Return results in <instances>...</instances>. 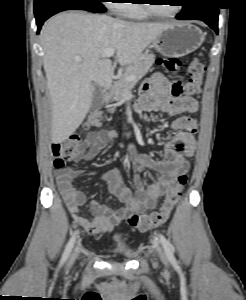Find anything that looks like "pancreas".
I'll list each match as a JSON object with an SVG mask.
<instances>
[{
	"label": "pancreas",
	"mask_w": 246,
	"mask_h": 300,
	"mask_svg": "<svg viewBox=\"0 0 246 300\" xmlns=\"http://www.w3.org/2000/svg\"><path fill=\"white\" fill-rule=\"evenodd\" d=\"M154 61L155 55L146 53L138 57L126 68L120 79L115 82L111 91L105 97L106 108H108V111L114 112V108H112V105H109V102L122 100L128 91H130L136 83L146 75ZM130 76H133L134 79L128 80Z\"/></svg>",
	"instance_id": "cf45deb5"
}]
</instances>
